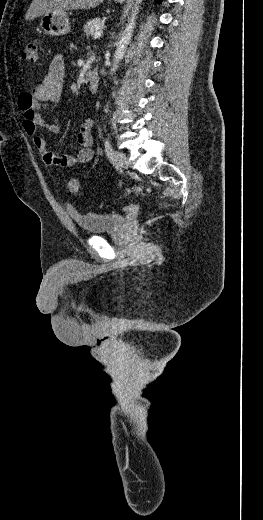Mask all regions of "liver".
Listing matches in <instances>:
<instances>
[{"instance_id":"liver-1","label":"liver","mask_w":263,"mask_h":520,"mask_svg":"<svg viewBox=\"0 0 263 520\" xmlns=\"http://www.w3.org/2000/svg\"><path fill=\"white\" fill-rule=\"evenodd\" d=\"M103 0H33L25 19L34 20L52 11L88 10L97 7Z\"/></svg>"}]
</instances>
